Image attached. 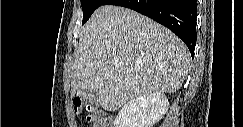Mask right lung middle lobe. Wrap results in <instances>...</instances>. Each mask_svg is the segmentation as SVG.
<instances>
[{
    "mask_svg": "<svg viewBox=\"0 0 243 127\" xmlns=\"http://www.w3.org/2000/svg\"><path fill=\"white\" fill-rule=\"evenodd\" d=\"M106 0H81V6L83 10V21L84 24L92 15V13L101 5L104 4Z\"/></svg>",
    "mask_w": 243,
    "mask_h": 127,
    "instance_id": "obj_1",
    "label": "right lung middle lobe"
}]
</instances>
